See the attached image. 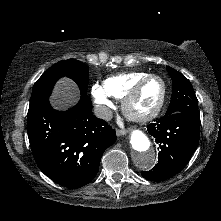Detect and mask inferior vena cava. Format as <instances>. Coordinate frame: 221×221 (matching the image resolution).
Returning a JSON list of instances; mask_svg holds the SVG:
<instances>
[{"instance_id": "inferior-vena-cava-1", "label": "inferior vena cava", "mask_w": 221, "mask_h": 221, "mask_svg": "<svg viewBox=\"0 0 221 221\" xmlns=\"http://www.w3.org/2000/svg\"><path fill=\"white\" fill-rule=\"evenodd\" d=\"M94 114L96 117L110 121L113 117L112 110L107 106H98L94 109Z\"/></svg>"}]
</instances>
